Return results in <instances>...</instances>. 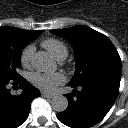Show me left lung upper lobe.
I'll use <instances>...</instances> for the list:
<instances>
[{"label": "left lung upper lobe", "instance_id": "5c2ea615", "mask_svg": "<svg viewBox=\"0 0 128 128\" xmlns=\"http://www.w3.org/2000/svg\"><path fill=\"white\" fill-rule=\"evenodd\" d=\"M50 32L64 37L73 44L76 72L70 84L81 83L97 72L121 74L120 56L104 34L83 25Z\"/></svg>", "mask_w": 128, "mask_h": 128}]
</instances>
